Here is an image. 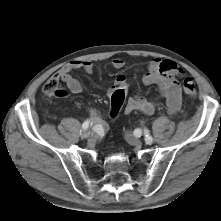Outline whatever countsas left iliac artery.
Segmentation results:
<instances>
[{
    "mask_svg": "<svg viewBox=\"0 0 221 221\" xmlns=\"http://www.w3.org/2000/svg\"><path fill=\"white\" fill-rule=\"evenodd\" d=\"M134 134L135 136L139 137L141 135L140 129H136ZM144 135L146 143L149 144L153 138L150 136L149 131L147 129H144Z\"/></svg>",
    "mask_w": 221,
    "mask_h": 221,
    "instance_id": "1",
    "label": "left iliac artery"
}]
</instances>
